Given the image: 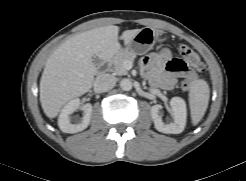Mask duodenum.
I'll use <instances>...</instances> for the list:
<instances>
[{"mask_svg":"<svg viewBox=\"0 0 246 181\" xmlns=\"http://www.w3.org/2000/svg\"><path fill=\"white\" fill-rule=\"evenodd\" d=\"M109 61H110V59H107V60H105V61L102 63V65H101V67H100V69H99V73H104V72L107 70V67H108V65H109Z\"/></svg>","mask_w":246,"mask_h":181,"instance_id":"410a0bca","label":"duodenum"}]
</instances>
